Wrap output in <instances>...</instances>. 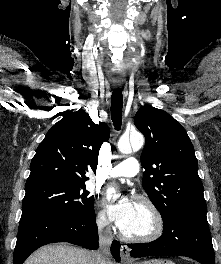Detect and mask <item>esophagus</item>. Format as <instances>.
Returning <instances> with one entry per match:
<instances>
[{
  "instance_id": "obj_1",
  "label": "esophagus",
  "mask_w": 221,
  "mask_h": 264,
  "mask_svg": "<svg viewBox=\"0 0 221 264\" xmlns=\"http://www.w3.org/2000/svg\"><path fill=\"white\" fill-rule=\"evenodd\" d=\"M115 88H118V85H116ZM129 252L130 249L127 245H121L120 254L121 260L124 264H129L132 261Z\"/></svg>"
}]
</instances>
